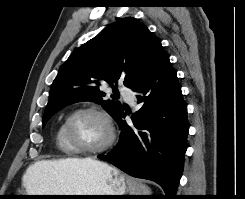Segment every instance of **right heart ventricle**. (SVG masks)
Masks as SVG:
<instances>
[{
	"label": "right heart ventricle",
	"mask_w": 245,
	"mask_h": 199,
	"mask_svg": "<svg viewBox=\"0 0 245 199\" xmlns=\"http://www.w3.org/2000/svg\"><path fill=\"white\" fill-rule=\"evenodd\" d=\"M55 142L59 150L65 154L66 156H74L76 152L67 142L64 131H63V123H61L55 133Z\"/></svg>",
	"instance_id": "right-heart-ventricle-1"
}]
</instances>
